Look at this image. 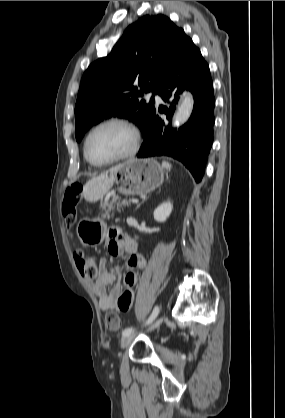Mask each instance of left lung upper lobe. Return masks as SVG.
<instances>
[{"label":"left lung upper lobe","mask_w":285,"mask_h":418,"mask_svg":"<svg viewBox=\"0 0 285 418\" xmlns=\"http://www.w3.org/2000/svg\"><path fill=\"white\" fill-rule=\"evenodd\" d=\"M185 33L167 16L146 15L131 24L111 53L85 71L75 106V136L83 135L104 118L117 116L136 123L143 137L156 112L154 100L139 101L144 93L158 94L160 82Z\"/></svg>","instance_id":"left-lung-upper-lobe-1"}]
</instances>
